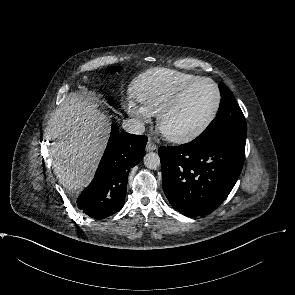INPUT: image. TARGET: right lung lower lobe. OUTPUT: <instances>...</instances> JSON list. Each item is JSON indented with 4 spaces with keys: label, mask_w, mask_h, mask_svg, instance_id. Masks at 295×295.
<instances>
[{
    "label": "right lung lower lobe",
    "mask_w": 295,
    "mask_h": 295,
    "mask_svg": "<svg viewBox=\"0 0 295 295\" xmlns=\"http://www.w3.org/2000/svg\"><path fill=\"white\" fill-rule=\"evenodd\" d=\"M147 138L119 133L115 123L91 184L80 194L77 206L95 219L106 218L124 205L128 173L144 156Z\"/></svg>",
    "instance_id": "right-lung-lower-lobe-1"
}]
</instances>
